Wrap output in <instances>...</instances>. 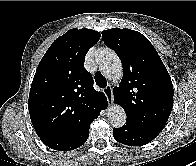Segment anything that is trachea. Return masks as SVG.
<instances>
[{
    "mask_svg": "<svg viewBox=\"0 0 196 166\" xmlns=\"http://www.w3.org/2000/svg\"><path fill=\"white\" fill-rule=\"evenodd\" d=\"M94 78L99 87L104 88L107 85L105 77L100 72H97Z\"/></svg>",
    "mask_w": 196,
    "mask_h": 166,
    "instance_id": "obj_1",
    "label": "trachea"
}]
</instances>
